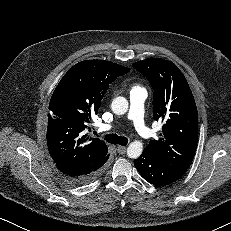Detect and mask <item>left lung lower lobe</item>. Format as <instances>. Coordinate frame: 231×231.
Instances as JSON below:
<instances>
[{"instance_id": "obj_1", "label": "left lung lower lobe", "mask_w": 231, "mask_h": 231, "mask_svg": "<svg viewBox=\"0 0 231 231\" xmlns=\"http://www.w3.org/2000/svg\"><path fill=\"white\" fill-rule=\"evenodd\" d=\"M134 165L143 178L157 187H163L177 181L188 169L161 162L144 151L138 159L134 160Z\"/></svg>"}]
</instances>
